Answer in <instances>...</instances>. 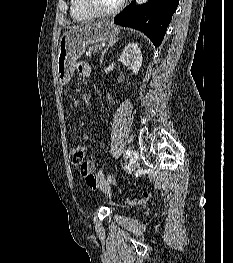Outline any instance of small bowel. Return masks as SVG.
<instances>
[{
  "mask_svg": "<svg viewBox=\"0 0 233 263\" xmlns=\"http://www.w3.org/2000/svg\"><path fill=\"white\" fill-rule=\"evenodd\" d=\"M77 72L79 75L81 76H88L91 72V66L89 65V63L87 62H80L77 64ZM111 103H113L112 99H109ZM81 174L84 176L85 180H86V173L92 174L95 176L96 178V183L94 185H90L87 183V185L94 189V190H101L104 191L106 189H108V183L106 182V180L104 179V173L102 171H99L98 173H94L95 172V164L93 161L89 160L86 161V165L84 168H80Z\"/></svg>",
  "mask_w": 233,
  "mask_h": 263,
  "instance_id": "obj_1",
  "label": "small bowel"
}]
</instances>
